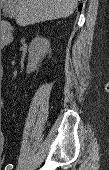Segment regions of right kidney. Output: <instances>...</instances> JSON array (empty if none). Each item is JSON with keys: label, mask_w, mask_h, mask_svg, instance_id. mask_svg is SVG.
<instances>
[{"label": "right kidney", "mask_w": 109, "mask_h": 170, "mask_svg": "<svg viewBox=\"0 0 109 170\" xmlns=\"http://www.w3.org/2000/svg\"><path fill=\"white\" fill-rule=\"evenodd\" d=\"M50 42L43 37L34 38L29 45V63L27 73L37 69L38 64L49 52Z\"/></svg>", "instance_id": "ca27d5eb"}]
</instances>
